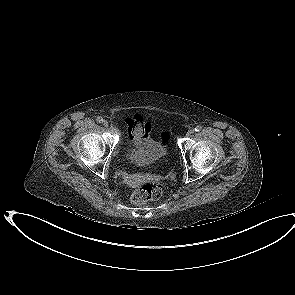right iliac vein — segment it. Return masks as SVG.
Returning a JSON list of instances; mask_svg holds the SVG:
<instances>
[{"instance_id":"1","label":"right iliac vein","mask_w":295,"mask_h":295,"mask_svg":"<svg viewBox=\"0 0 295 295\" xmlns=\"http://www.w3.org/2000/svg\"><path fill=\"white\" fill-rule=\"evenodd\" d=\"M103 125H104L105 127H108V126H109L108 121H107V120H104V121H103Z\"/></svg>"}]
</instances>
